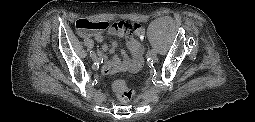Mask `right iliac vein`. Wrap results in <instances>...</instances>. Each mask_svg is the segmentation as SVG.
Listing matches in <instances>:
<instances>
[{
	"mask_svg": "<svg viewBox=\"0 0 255 122\" xmlns=\"http://www.w3.org/2000/svg\"><path fill=\"white\" fill-rule=\"evenodd\" d=\"M98 59H99V58H98V56H97L96 54L92 56V60H93V61H98Z\"/></svg>",
	"mask_w": 255,
	"mask_h": 122,
	"instance_id": "63e3f726",
	"label": "right iliac vein"
}]
</instances>
